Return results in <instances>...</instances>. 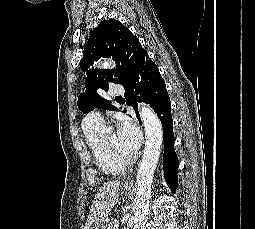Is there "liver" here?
<instances>
[{
	"label": "liver",
	"instance_id": "1",
	"mask_svg": "<svg viewBox=\"0 0 255 229\" xmlns=\"http://www.w3.org/2000/svg\"><path fill=\"white\" fill-rule=\"evenodd\" d=\"M121 184L119 180L106 182L94 197L85 229L104 220L118 201Z\"/></svg>",
	"mask_w": 255,
	"mask_h": 229
}]
</instances>
